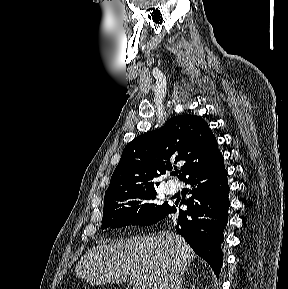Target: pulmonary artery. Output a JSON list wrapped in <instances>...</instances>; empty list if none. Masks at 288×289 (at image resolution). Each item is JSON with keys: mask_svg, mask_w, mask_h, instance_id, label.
Returning <instances> with one entry per match:
<instances>
[{"mask_svg": "<svg viewBox=\"0 0 288 289\" xmlns=\"http://www.w3.org/2000/svg\"><path fill=\"white\" fill-rule=\"evenodd\" d=\"M165 189L170 194H175L179 191L180 186L176 181H168L165 185Z\"/></svg>", "mask_w": 288, "mask_h": 289, "instance_id": "pulmonary-artery-1", "label": "pulmonary artery"}]
</instances>
